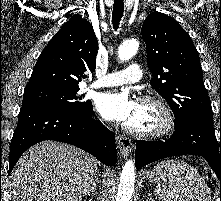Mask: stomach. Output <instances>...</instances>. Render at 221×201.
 <instances>
[{"mask_svg": "<svg viewBox=\"0 0 221 201\" xmlns=\"http://www.w3.org/2000/svg\"><path fill=\"white\" fill-rule=\"evenodd\" d=\"M166 176L163 170H158L156 167H154L152 170H150L147 173V179L149 182H155L159 183L163 180H165Z\"/></svg>", "mask_w": 221, "mask_h": 201, "instance_id": "0dacf381", "label": "stomach"}]
</instances>
